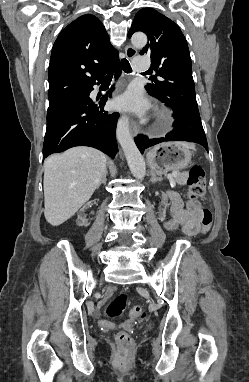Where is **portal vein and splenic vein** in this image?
I'll return each instance as SVG.
<instances>
[{"label":"portal vein and splenic vein","mask_w":249,"mask_h":382,"mask_svg":"<svg viewBox=\"0 0 249 382\" xmlns=\"http://www.w3.org/2000/svg\"><path fill=\"white\" fill-rule=\"evenodd\" d=\"M177 177V172H172L171 178H176Z\"/></svg>","instance_id":"1"}]
</instances>
